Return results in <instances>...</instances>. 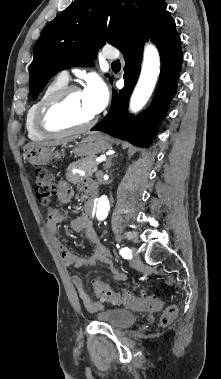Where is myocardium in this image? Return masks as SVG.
Here are the masks:
<instances>
[{
    "mask_svg": "<svg viewBox=\"0 0 221 379\" xmlns=\"http://www.w3.org/2000/svg\"><path fill=\"white\" fill-rule=\"evenodd\" d=\"M75 85H65L50 94L39 106L36 113V124L38 129L47 136H65L87 130L95 124L97 117L94 115L87 122L76 126L59 125L52 118L56 110L74 92H79Z\"/></svg>",
    "mask_w": 221,
    "mask_h": 379,
    "instance_id": "obj_1",
    "label": "myocardium"
}]
</instances>
